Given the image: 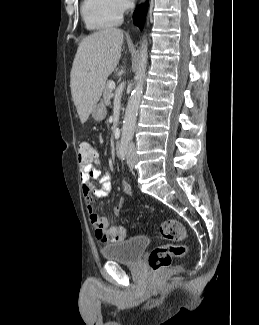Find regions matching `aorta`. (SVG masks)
Listing matches in <instances>:
<instances>
[{"instance_id":"762f6f07","label":"aorta","mask_w":259,"mask_h":325,"mask_svg":"<svg viewBox=\"0 0 259 325\" xmlns=\"http://www.w3.org/2000/svg\"><path fill=\"white\" fill-rule=\"evenodd\" d=\"M148 59V43L146 39L141 43L140 59L138 65V71L136 75V84L128 100V104L125 110V116L122 126V139L130 141L133 138L136 120L138 116L139 105L144 88V79L146 75Z\"/></svg>"}]
</instances>
